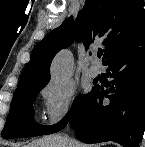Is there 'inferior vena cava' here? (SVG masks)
Returning a JSON list of instances; mask_svg holds the SVG:
<instances>
[{
  "instance_id": "1",
  "label": "inferior vena cava",
  "mask_w": 145,
  "mask_h": 147,
  "mask_svg": "<svg viewBox=\"0 0 145 147\" xmlns=\"http://www.w3.org/2000/svg\"><path fill=\"white\" fill-rule=\"evenodd\" d=\"M63 138H64V140L66 141V143L69 142V139H68L66 136H64ZM67 146H68V145H67Z\"/></svg>"
}]
</instances>
